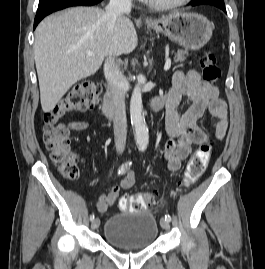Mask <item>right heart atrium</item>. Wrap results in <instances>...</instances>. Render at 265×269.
<instances>
[{
    "mask_svg": "<svg viewBox=\"0 0 265 269\" xmlns=\"http://www.w3.org/2000/svg\"><path fill=\"white\" fill-rule=\"evenodd\" d=\"M124 1H132V0H124Z\"/></svg>",
    "mask_w": 265,
    "mask_h": 269,
    "instance_id": "d8ad5b80",
    "label": "right heart atrium"
}]
</instances>
